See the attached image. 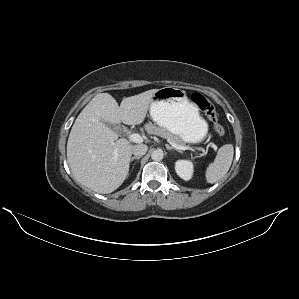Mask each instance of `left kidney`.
Listing matches in <instances>:
<instances>
[{"label":"left kidney","mask_w":299,"mask_h":299,"mask_svg":"<svg viewBox=\"0 0 299 299\" xmlns=\"http://www.w3.org/2000/svg\"><path fill=\"white\" fill-rule=\"evenodd\" d=\"M177 175L185 181H188L193 176V163L188 160H178L175 163Z\"/></svg>","instance_id":"left-kidney-1"}]
</instances>
